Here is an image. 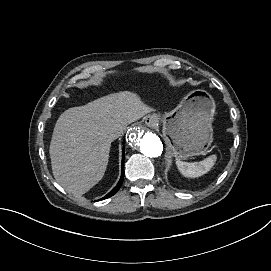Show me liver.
Instances as JSON below:
<instances>
[{"label":"liver","instance_id":"liver-1","mask_svg":"<svg viewBox=\"0 0 271 271\" xmlns=\"http://www.w3.org/2000/svg\"><path fill=\"white\" fill-rule=\"evenodd\" d=\"M152 111L130 92L66 110L56 122L50 144L56 181L76 196L87 193L104 176L115 136Z\"/></svg>","mask_w":271,"mask_h":271}]
</instances>
